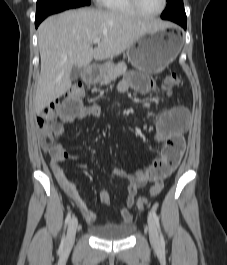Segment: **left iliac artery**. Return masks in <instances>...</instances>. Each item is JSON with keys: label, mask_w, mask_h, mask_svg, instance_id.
<instances>
[{"label": "left iliac artery", "mask_w": 227, "mask_h": 265, "mask_svg": "<svg viewBox=\"0 0 227 265\" xmlns=\"http://www.w3.org/2000/svg\"><path fill=\"white\" fill-rule=\"evenodd\" d=\"M150 214H151V216L154 218V221H155V223H156V226H157V228H158V230H159L160 241H161V243L163 244V243H164V238H163V235H162L161 230H160L159 217H158V215H157V213L155 212L154 209H151Z\"/></svg>", "instance_id": "obj_1"}]
</instances>
